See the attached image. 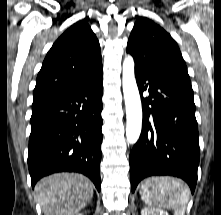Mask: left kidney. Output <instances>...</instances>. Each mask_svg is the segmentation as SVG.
<instances>
[{"label": "left kidney", "mask_w": 221, "mask_h": 215, "mask_svg": "<svg viewBox=\"0 0 221 215\" xmlns=\"http://www.w3.org/2000/svg\"><path fill=\"white\" fill-rule=\"evenodd\" d=\"M141 215H169L165 210L155 207H145L141 210Z\"/></svg>", "instance_id": "left-kidney-1"}]
</instances>
